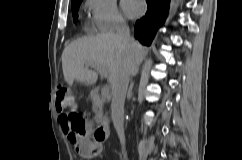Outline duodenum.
<instances>
[{
  "instance_id": "1",
  "label": "duodenum",
  "mask_w": 242,
  "mask_h": 160,
  "mask_svg": "<svg viewBox=\"0 0 242 160\" xmlns=\"http://www.w3.org/2000/svg\"><path fill=\"white\" fill-rule=\"evenodd\" d=\"M92 98L96 104L100 103L99 92L95 89L92 91ZM109 125L107 122H101L93 129V136L97 142L103 143L109 138Z\"/></svg>"
}]
</instances>
